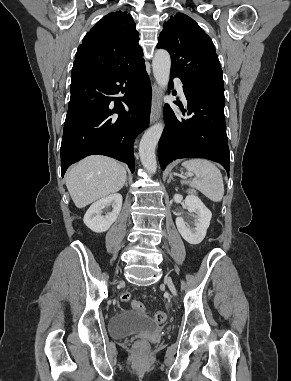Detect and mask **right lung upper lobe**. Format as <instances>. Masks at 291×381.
<instances>
[{
    "mask_svg": "<svg viewBox=\"0 0 291 381\" xmlns=\"http://www.w3.org/2000/svg\"><path fill=\"white\" fill-rule=\"evenodd\" d=\"M139 33L130 14L109 13L86 34L75 55L72 71L118 72L142 58Z\"/></svg>",
    "mask_w": 291,
    "mask_h": 381,
    "instance_id": "right-lung-upper-lobe-1",
    "label": "right lung upper lobe"
}]
</instances>
